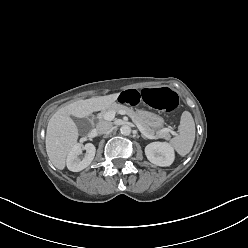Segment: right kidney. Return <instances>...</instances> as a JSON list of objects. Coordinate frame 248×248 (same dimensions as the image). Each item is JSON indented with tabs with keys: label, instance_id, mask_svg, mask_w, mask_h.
<instances>
[{
	"label": "right kidney",
	"instance_id": "right-kidney-1",
	"mask_svg": "<svg viewBox=\"0 0 248 248\" xmlns=\"http://www.w3.org/2000/svg\"><path fill=\"white\" fill-rule=\"evenodd\" d=\"M82 150L86 151L84 158L81 160L79 155ZM96 148L92 143H87L84 146L75 144L68 153L66 164L67 168L73 172H79L88 167L94 159Z\"/></svg>",
	"mask_w": 248,
	"mask_h": 248
}]
</instances>
